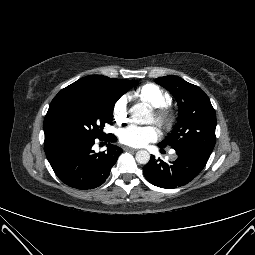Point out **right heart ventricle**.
Wrapping results in <instances>:
<instances>
[{"mask_svg": "<svg viewBox=\"0 0 255 255\" xmlns=\"http://www.w3.org/2000/svg\"><path fill=\"white\" fill-rule=\"evenodd\" d=\"M132 96L152 107L169 105L171 97L167 91L154 83H146L138 87Z\"/></svg>", "mask_w": 255, "mask_h": 255, "instance_id": "e07e8e85", "label": "right heart ventricle"}]
</instances>
